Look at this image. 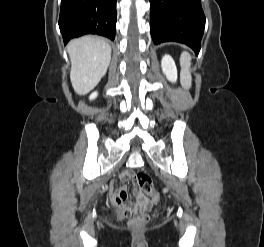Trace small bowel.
Instances as JSON below:
<instances>
[{
    "label": "small bowel",
    "mask_w": 264,
    "mask_h": 247,
    "mask_svg": "<svg viewBox=\"0 0 264 247\" xmlns=\"http://www.w3.org/2000/svg\"><path fill=\"white\" fill-rule=\"evenodd\" d=\"M130 176H131L130 173L125 172V173L122 174L121 177H122L123 180H127V179L130 178ZM137 198L140 199V198H144V197H143L142 194H138ZM112 199H113L114 203H116V204L118 202H120V201L126 200L127 199V190H126V188L123 187V188H121L118 191H114L113 194H112Z\"/></svg>",
    "instance_id": "1"
}]
</instances>
